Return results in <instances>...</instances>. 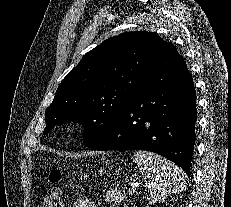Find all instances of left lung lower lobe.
<instances>
[{"mask_svg":"<svg viewBox=\"0 0 231 207\" xmlns=\"http://www.w3.org/2000/svg\"><path fill=\"white\" fill-rule=\"evenodd\" d=\"M197 120L194 83L172 45L145 79L144 91L117 118L93 150H147L190 177Z\"/></svg>","mask_w":231,"mask_h":207,"instance_id":"obj_1","label":"left lung lower lobe"}]
</instances>
